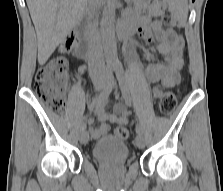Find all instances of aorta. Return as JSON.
Listing matches in <instances>:
<instances>
[{
  "label": "aorta",
  "mask_w": 223,
  "mask_h": 191,
  "mask_svg": "<svg viewBox=\"0 0 223 191\" xmlns=\"http://www.w3.org/2000/svg\"><path fill=\"white\" fill-rule=\"evenodd\" d=\"M115 3L109 0L105 6L101 19V40L107 65H117L119 63L117 54V44L115 38Z\"/></svg>",
  "instance_id": "1"
}]
</instances>
